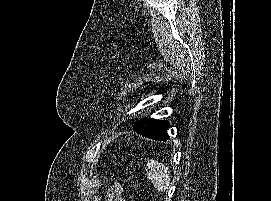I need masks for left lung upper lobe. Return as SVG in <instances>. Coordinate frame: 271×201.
Wrapping results in <instances>:
<instances>
[{"label":"left lung upper lobe","mask_w":271,"mask_h":201,"mask_svg":"<svg viewBox=\"0 0 271 201\" xmlns=\"http://www.w3.org/2000/svg\"><path fill=\"white\" fill-rule=\"evenodd\" d=\"M133 128L136 133L145 137L154 140H164L168 137L167 129L169 128V122L153 118H144L136 121Z\"/></svg>","instance_id":"left-lung-upper-lobe-1"}]
</instances>
